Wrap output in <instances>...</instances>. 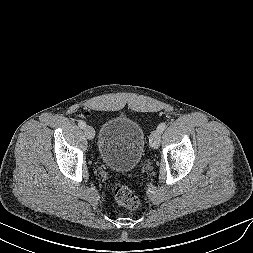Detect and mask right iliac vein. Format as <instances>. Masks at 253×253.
Returning a JSON list of instances; mask_svg holds the SVG:
<instances>
[{"label": "right iliac vein", "instance_id": "right-iliac-vein-1", "mask_svg": "<svg viewBox=\"0 0 253 253\" xmlns=\"http://www.w3.org/2000/svg\"><path fill=\"white\" fill-rule=\"evenodd\" d=\"M84 133L89 140H92L95 136V131L91 126H86L84 128Z\"/></svg>", "mask_w": 253, "mask_h": 253}]
</instances>
